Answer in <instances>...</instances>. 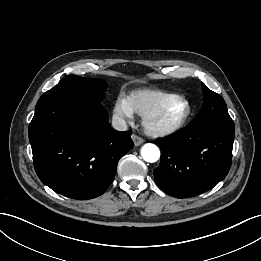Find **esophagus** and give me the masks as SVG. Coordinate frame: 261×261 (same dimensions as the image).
I'll return each mask as SVG.
<instances>
[{
	"label": "esophagus",
	"mask_w": 261,
	"mask_h": 261,
	"mask_svg": "<svg viewBox=\"0 0 261 261\" xmlns=\"http://www.w3.org/2000/svg\"><path fill=\"white\" fill-rule=\"evenodd\" d=\"M131 138H132L135 146H139V145H141L144 142L143 138H141L140 136L135 135V134H133L131 136Z\"/></svg>",
	"instance_id": "obj_1"
}]
</instances>
